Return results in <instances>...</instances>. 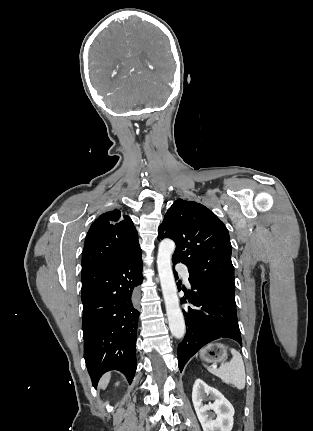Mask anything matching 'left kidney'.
<instances>
[{
    "mask_svg": "<svg viewBox=\"0 0 313 431\" xmlns=\"http://www.w3.org/2000/svg\"><path fill=\"white\" fill-rule=\"evenodd\" d=\"M213 403L203 405L206 396ZM192 401L203 431H231L233 427L234 408L232 404L215 388L208 386L203 380L196 379L192 390ZM213 410L216 418L208 411Z\"/></svg>",
    "mask_w": 313,
    "mask_h": 431,
    "instance_id": "obj_1",
    "label": "left kidney"
}]
</instances>
